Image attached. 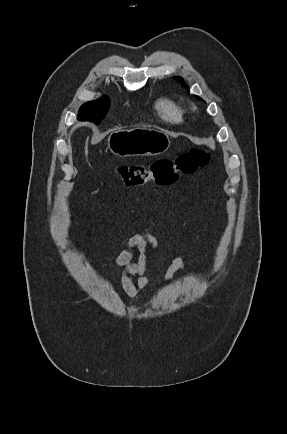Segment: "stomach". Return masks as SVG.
<instances>
[{"label":"stomach","instance_id":"0dacf381","mask_svg":"<svg viewBox=\"0 0 287 434\" xmlns=\"http://www.w3.org/2000/svg\"><path fill=\"white\" fill-rule=\"evenodd\" d=\"M107 142L109 150L119 157L159 155L171 144L165 132L147 127L112 131Z\"/></svg>","mask_w":287,"mask_h":434}]
</instances>
